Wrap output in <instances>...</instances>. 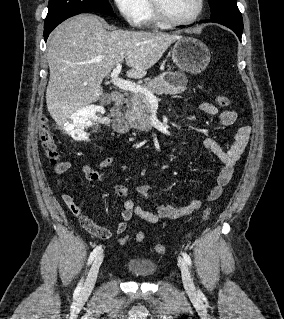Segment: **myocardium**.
<instances>
[{
  "label": "myocardium",
  "instance_id": "1",
  "mask_svg": "<svg viewBox=\"0 0 284 319\" xmlns=\"http://www.w3.org/2000/svg\"><path fill=\"white\" fill-rule=\"evenodd\" d=\"M150 4L156 19L164 24L168 25H188L197 21L203 14L205 7V0H198V7L193 16L186 19H177L170 16L164 9L161 0H150Z\"/></svg>",
  "mask_w": 284,
  "mask_h": 319
}]
</instances>
